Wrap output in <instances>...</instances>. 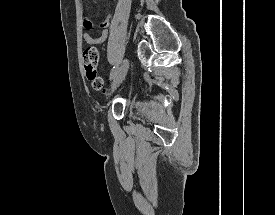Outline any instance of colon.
Returning <instances> with one entry per match:
<instances>
[{
	"label": "colon",
	"mask_w": 275,
	"mask_h": 215,
	"mask_svg": "<svg viewBox=\"0 0 275 215\" xmlns=\"http://www.w3.org/2000/svg\"><path fill=\"white\" fill-rule=\"evenodd\" d=\"M98 50L93 46H88L82 53V65L86 78L91 82L95 90H105L103 80L98 76Z\"/></svg>",
	"instance_id": "5ec220e1"
}]
</instances>
